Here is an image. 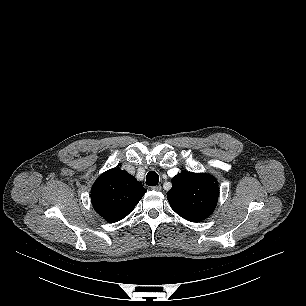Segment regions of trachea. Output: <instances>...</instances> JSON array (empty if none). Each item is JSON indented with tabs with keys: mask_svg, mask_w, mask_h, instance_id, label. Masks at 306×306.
<instances>
[{
	"mask_svg": "<svg viewBox=\"0 0 306 306\" xmlns=\"http://www.w3.org/2000/svg\"><path fill=\"white\" fill-rule=\"evenodd\" d=\"M159 182V176L156 172L150 171L146 176V185L156 186Z\"/></svg>",
	"mask_w": 306,
	"mask_h": 306,
	"instance_id": "3493384b",
	"label": "trachea"
}]
</instances>
